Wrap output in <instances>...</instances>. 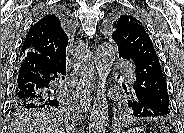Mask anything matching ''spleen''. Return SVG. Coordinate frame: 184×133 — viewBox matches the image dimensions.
<instances>
[{
    "label": "spleen",
    "mask_w": 184,
    "mask_h": 133,
    "mask_svg": "<svg viewBox=\"0 0 184 133\" xmlns=\"http://www.w3.org/2000/svg\"><path fill=\"white\" fill-rule=\"evenodd\" d=\"M140 129H135V130H132L131 132L132 133H136V132H138Z\"/></svg>",
    "instance_id": "spleen-1"
}]
</instances>
